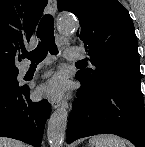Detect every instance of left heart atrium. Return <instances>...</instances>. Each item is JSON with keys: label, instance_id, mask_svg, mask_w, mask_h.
I'll list each match as a JSON object with an SVG mask.
<instances>
[{"label": "left heart atrium", "instance_id": "1", "mask_svg": "<svg viewBox=\"0 0 145 147\" xmlns=\"http://www.w3.org/2000/svg\"><path fill=\"white\" fill-rule=\"evenodd\" d=\"M65 92L64 80L56 76L48 82L40 85L36 91L39 97H48L52 99L60 98Z\"/></svg>", "mask_w": 145, "mask_h": 147}]
</instances>
